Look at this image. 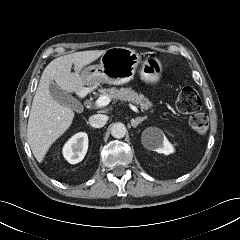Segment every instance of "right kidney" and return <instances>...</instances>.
<instances>
[{
    "mask_svg": "<svg viewBox=\"0 0 240 240\" xmlns=\"http://www.w3.org/2000/svg\"><path fill=\"white\" fill-rule=\"evenodd\" d=\"M88 149V136L79 132L72 136L63 147V155L71 164H77L83 160Z\"/></svg>",
    "mask_w": 240,
    "mask_h": 240,
    "instance_id": "obj_1",
    "label": "right kidney"
}]
</instances>
